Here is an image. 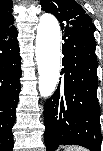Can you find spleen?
Instances as JSON below:
<instances>
[{"instance_id": "3e777b00", "label": "spleen", "mask_w": 103, "mask_h": 151, "mask_svg": "<svg viewBox=\"0 0 103 151\" xmlns=\"http://www.w3.org/2000/svg\"><path fill=\"white\" fill-rule=\"evenodd\" d=\"M65 151H88V150L80 146H69L65 149Z\"/></svg>"}]
</instances>
